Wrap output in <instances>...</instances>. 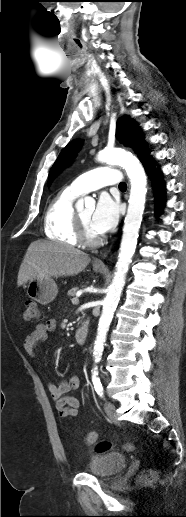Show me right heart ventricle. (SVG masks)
Listing matches in <instances>:
<instances>
[{
	"mask_svg": "<svg viewBox=\"0 0 186 517\" xmlns=\"http://www.w3.org/2000/svg\"><path fill=\"white\" fill-rule=\"evenodd\" d=\"M79 196L71 187L61 189L49 203L45 218L44 230L49 239L69 246L79 244L77 238L76 211L74 200Z\"/></svg>",
	"mask_w": 186,
	"mask_h": 517,
	"instance_id": "right-heart-ventricle-1",
	"label": "right heart ventricle"
}]
</instances>
